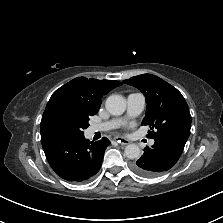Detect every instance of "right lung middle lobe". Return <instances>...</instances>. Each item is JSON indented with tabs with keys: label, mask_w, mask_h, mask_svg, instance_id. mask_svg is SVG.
<instances>
[{
	"label": "right lung middle lobe",
	"mask_w": 223,
	"mask_h": 223,
	"mask_svg": "<svg viewBox=\"0 0 223 223\" xmlns=\"http://www.w3.org/2000/svg\"><path fill=\"white\" fill-rule=\"evenodd\" d=\"M83 111L70 110L63 112L57 119V127L63 138L84 136L83 130L89 126V117Z\"/></svg>",
	"instance_id": "1"
}]
</instances>
